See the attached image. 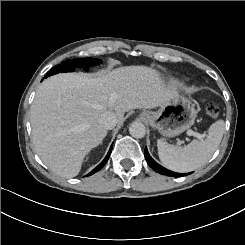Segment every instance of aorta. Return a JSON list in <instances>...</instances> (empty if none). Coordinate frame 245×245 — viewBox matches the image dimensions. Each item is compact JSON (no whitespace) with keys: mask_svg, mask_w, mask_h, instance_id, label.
Wrapping results in <instances>:
<instances>
[{"mask_svg":"<svg viewBox=\"0 0 245 245\" xmlns=\"http://www.w3.org/2000/svg\"><path fill=\"white\" fill-rule=\"evenodd\" d=\"M129 133L134 138H143L146 134V128L141 122H132L129 127Z\"/></svg>","mask_w":245,"mask_h":245,"instance_id":"1","label":"aorta"}]
</instances>
